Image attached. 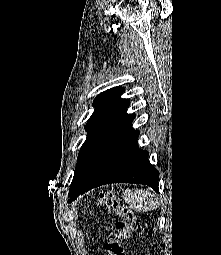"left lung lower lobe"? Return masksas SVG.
<instances>
[{
	"instance_id": "0a47b994",
	"label": "left lung lower lobe",
	"mask_w": 221,
	"mask_h": 255,
	"mask_svg": "<svg viewBox=\"0 0 221 255\" xmlns=\"http://www.w3.org/2000/svg\"><path fill=\"white\" fill-rule=\"evenodd\" d=\"M135 115H129L112 130L94 151L70 193V202L100 185L125 182L146 184L158 192V171L148 152L137 146L139 132L132 129Z\"/></svg>"
}]
</instances>
